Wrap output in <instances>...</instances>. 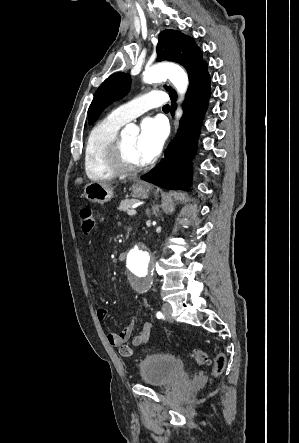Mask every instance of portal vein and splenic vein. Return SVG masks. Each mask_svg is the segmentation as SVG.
I'll list each match as a JSON object with an SVG mask.
<instances>
[{
  "mask_svg": "<svg viewBox=\"0 0 299 443\" xmlns=\"http://www.w3.org/2000/svg\"><path fill=\"white\" fill-rule=\"evenodd\" d=\"M136 210L135 209H132V210H129L128 212H127V214L129 215V216H134V215H136Z\"/></svg>",
  "mask_w": 299,
  "mask_h": 443,
  "instance_id": "portal-vein-and-splenic-vein-1",
  "label": "portal vein and splenic vein"
}]
</instances>
